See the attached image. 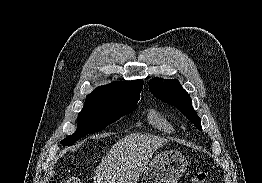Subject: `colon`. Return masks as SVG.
I'll return each instance as SVG.
<instances>
[{
  "label": "colon",
  "mask_w": 262,
  "mask_h": 183,
  "mask_svg": "<svg viewBox=\"0 0 262 183\" xmlns=\"http://www.w3.org/2000/svg\"><path fill=\"white\" fill-rule=\"evenodd\" d=\"M191 183H206L209 180V172L206 170H198L193 172L189 177ZM61 183H82L79 177H69Z\"/></svg>",
  "instance_id": "obj_1"
}]
</instances>
